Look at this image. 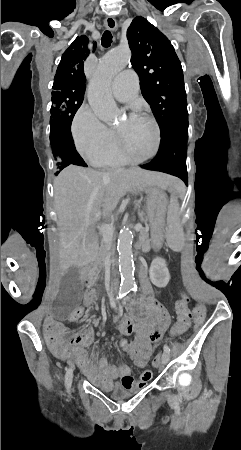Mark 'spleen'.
I'll use <instances>...</instances> for the list:
<instances>
[{
	"label": "spleen",
	"instance_id": "spleen-1",
	"mask_svg": "<svg viewBox=\"0 0 241 450\" xmlns=\"http://www.w3.org/2000/svg\"><path fill=\"white\" fill-rule=\"evenodd\" d=\"M171 202H174L172 208L175 211H178L181 208V205L177 202L175 196H171ZM168 242L169 249L171 253H180L183 248V237L185 230L181 228V219L179 218L178 212H169L168 214Z\"/></svg>",
	"mask_w": 241,
	"mask_h": 450
}]
</instances>
